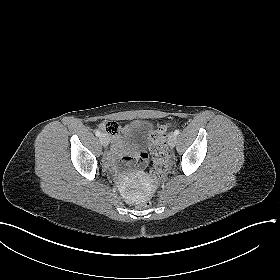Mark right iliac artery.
Returning a JSON list of instances; mask_svg holds the SVG:
<instances>
[{
  "label": "right iliac artery",
  "mask_w": 280,
  "mask_h": 280,
  "mask_svg": "<svg viewBox=\"0 0 280 280\" xmlns=\"http://www.w3.org/2000/svg\"><path fill=\"white\" fill-rule=\"evenodd\" d=\"M95 134H96V136L99 137V136L101 135V132H100L99 130H96V131H95Z\"/></svg>",
  "instance_id": "1"
}]
</instances>
